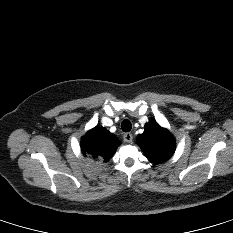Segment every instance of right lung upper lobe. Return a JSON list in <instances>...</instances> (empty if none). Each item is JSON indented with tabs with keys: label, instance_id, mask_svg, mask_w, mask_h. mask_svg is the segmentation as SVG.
I'll list each match as a JSON object with an SVG mask.
<instances>
[{
	"label": "right lung upper lobe",
	"instance_id": "cb5924a9",
	"mask_svg": "<svg viewBox=\"0 0 233 233\" xmlns=\"http://www.w3.org/2000/svg\"><path fill=\"white\" fill-rule=\"evenodd\" d=\"M120 144L114 134L96 126L81 139V151L90 160L108 162Z\"/></svg>",
	"mask_w": 233,
	"mask_h": 233
}]
</instances>
